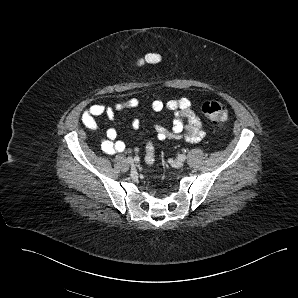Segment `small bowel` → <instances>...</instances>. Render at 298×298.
Masks as SVG:
<instances>
[{"label":"small bowel","mask_w":298,"mask_h":298,"mask_svg":"<svg viewBox=\"0 0 298 298\" xmlns=\"http://www.w3.org/2000/svg\"><path fill=\"white\" fill-rule=\"evenodd\" d=\"M140 105L138 98H130L125 102H119L113 106H105L103 104H93L86 109L82 114V122L86 128L92 132L99 130L97 118L105 115L109 119H114L116 114L124 109H133ZM192 102L188 98L169 100L163 102L159 99L152 101L151 107L154 111L169 110L174 113L171 128L163 125L154 127L156 137L160 141L174 140L186 142H198L204 135V128L201 119L196 115L192 108ZM132 128L138 130L140 121L138 118L132 120ZM126 146L123 141L117 140V131L114 128H109L106 131V137L101 141V149L108 155L121 153Z\"/></svg>","instance_id":"1"}]
</instances>
